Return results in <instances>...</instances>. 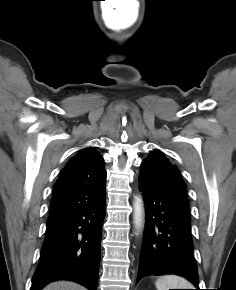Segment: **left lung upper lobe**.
I'll use <instances>...</instances> for the list:
<instances>
[{
  "mask_svg": "<svg viewBox=\"0 0 236 290\" xmlns=\"http://www.w3.org/2000/svg\"><path fill=\"white\" fill-rule=\"evenodd\" d=\"M139 179L170 189L188 201L186 185L178 169L170 164L164 153L159 150H154L143 160Z\"/></svg>",
  "mask_w": 236,
  "mask_h": 290,
  "instance_id": "left-lung-upper-lobe-1",
  "label": "left lung upper lobe"
}]
</instances>
